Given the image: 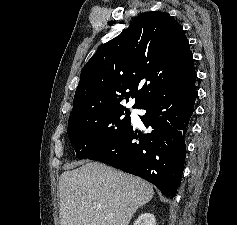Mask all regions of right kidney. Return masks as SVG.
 <instances>
[{"label":"right kidney","mask_w":237,"mask_h":225,"mask_svg":"<svg viewBox=\"0 0 237 225\" xmlns=\"http://www.w3.org/2000/svg\"><path fill=\"white\" fill-rule=\"evenodd\" d=\"M134 225H156L155 216L151 213L141 214Z\"/></svg>","instance_id":"right-kidney-1"}]
</instances>
